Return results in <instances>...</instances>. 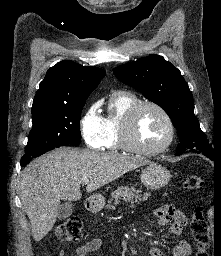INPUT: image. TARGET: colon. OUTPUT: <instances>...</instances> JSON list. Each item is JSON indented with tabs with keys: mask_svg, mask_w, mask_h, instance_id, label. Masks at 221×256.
<instances>
[{
	"mask_svg": "<svg viewBox=\"0 0 221 256\" xmlns=\"http://www.w3.org/2000/svg\"><path fill=\"white\" fill-rule=\"evenodd\" d=\"M204 181L200 176L191 175L184 179L182 190L192 192L203 187ZM81 221L77 217H71L59 224L56 228V238L63 242H77L81 239ZM191 233L195 241L196 256H207L206 247L209 243L208 226L204 219L203 208L197 207L194 210L191 221Z\"/></svg>",
	"mask_w": 221,
	"mask_h": 256,
	"instance_id": "1",
	"label": "colon"
}]
</instances>
